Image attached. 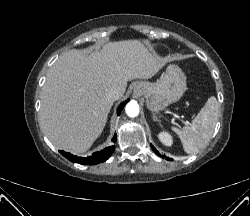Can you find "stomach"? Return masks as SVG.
<instances>
[{"label": "stomach", "mask_w": 250, "mask_h": 216, "mask_svg": "<svg viewBox=\"0 0 250 216\" xmlns=\"http://www.w3.org/2000/svg\"><path fill=\"white\" fill-rule=\"evenodd\" d=\"M186 89V76L181 68L169 65L157 82H137L134 86V93L145 99L150 110L160 111L178 101Z\"/></svg>", "instance_id": "obj_1"}]
</instances>
